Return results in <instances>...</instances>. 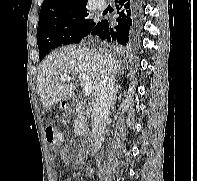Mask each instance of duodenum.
I'll return each mask as SVG.
<instances>
[{"label": "duodenum", "instance_id": "obj_1", "mask_svg": "<svg viewBox=\"0 0 197 181\" xmlns=\"http://www.w3.org/2000/svg\"><path fill=\"white\" fill-rule=\"evenodd\" d=\"M65 108H66V110L68 112L74 113V112H80V111H82L83 105L79 101H77V100H68L66 102ZM87 153L89 155L93 154V150H92V148H90V145L87 148Z\"/></svg>", "mask_w": 197, "mask_h": 181}]
</instances>
